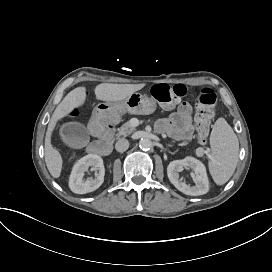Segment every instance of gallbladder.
<instances>
[{
    "instance_id": "obj_1",
    "label": "gallbladder",
    "mask_w": 272,
    "mask_h": 272,
    "mask_svg": "<svg viewBox=\"0 0 272 272\" xmlns=\"http://www.w3.org/2000/svg\"><path fill=\"white\" fill-rule=\"evenodd\" d=\"M60 135L63 142L71 148H83L90 142L86 126L79 122H68L61 126Z\"/></svg>"
}]
</instances>
